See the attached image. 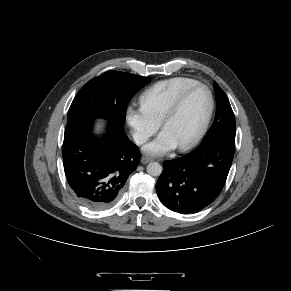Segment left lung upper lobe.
Wrapping results in <instances>:
<instances>
[{
  "label": "left lung upper lobe",
  "instance_id": "obj_1",
  "mask_svg": "<svg viewBox=\"0 0 291 291\" xmlns=\"http://www.w3.org/2000/svg\"><path fill=\"white\" fill-rule=\"evenodd\" d=\"M214 91L217 100L216 117L202 144L220 138L235 140V117L229 100L224 91L216 82L214 83Z\"/></svg>",
  "mask_w": 291,
  "mask_h": 291
}]
</instances>
